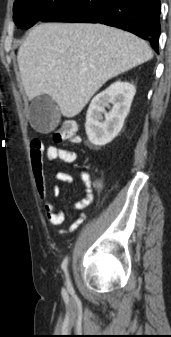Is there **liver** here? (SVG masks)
Listing matches in <instances>:
<instances>
[{"label": "liver", "mask_w": 171, "mask_h": 337, "mask_svg": "<svg viewBox=\"0 0 171 337\" xmlns=\"http://www.w3.org/2000/svg\"><path fill=\"white\" fill-rule=\"evenodd\" d=\"M152 57L146 41L114 27L42 23L20 46L17 61L28 99L46 94L72 118L105 82Z\"/></svg>", "instance_id": "6515ba94"}]
</instances>
